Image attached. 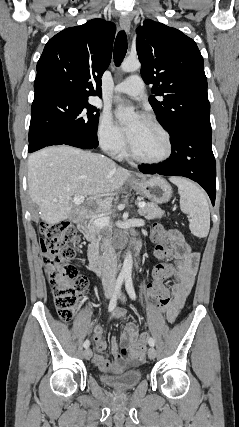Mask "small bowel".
Segmentation results:
<instances>
[{
  "label": "small bowel",
  "instance_id": "small-bowel-1",
  "mask_svg": "<svg viewBox=\"0 0 239 427\" xmlns=\"http://www.w3.org/2000/svg\"><path fill=\"white\" fill-rule=\"evenodd\" d=\"M170 235L171 242L169 244V258L175 259V264L171 266V278L174 283L170 290L168 302L162 308L169 322H174L184 303L189 295L195 281L198 270L200 254L191 250L186 243L182 233L177 229L166 231ZM160 306V305H159ZM126 315L124 308H117L113 317L122 319ZM138 338L137 326L133 322H129L121 333V343L124 346L133 345ZM94 342L96 353L93 355V362L106 373L118 374L122 372L126 366V357L119 352L118 341L112 338L110 341V350L112 359H106L102 355V351L106 349L107 343L103 338V329L100 325L94 327Z\"/></svg>",
  "mask_w": 239,
  "mask_h": 427
}]
</instances>
